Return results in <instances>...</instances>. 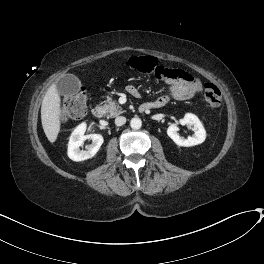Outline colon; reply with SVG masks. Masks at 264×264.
Instances as JSON below:
<instances>
[{
  "instance_id": "1",
  "label": "colon",
  "mask_w": 264,
  "mask_h": 264,
  "mask_svg": "<svg viewBox=\"0 0 264 264\" xmlns=\"http://www.w3.org/2000/svg\"><path fill=\"white\" fill-rule=\"evenodd\" d=\"M129 66L133 70L152 74L159 79H166L173 75V71L169 68L159 64V62L152 57H132L129 60ZM205 102L215 108L222 105V94L218 87L211 83L205 82L203 85ZM87 93L81 89L73 97L68 99L63 104V116L66 119H80L86 111Z\"/></svg>"
}]
</instances>
